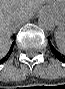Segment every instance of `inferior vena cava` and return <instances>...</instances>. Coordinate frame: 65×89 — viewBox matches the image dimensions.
I'll use <instances>...</instances> for the list:
<instances>
[{
    "label": "inferior vena cava",
    "mask_w": 65,
    "mask_h": 89,
    "mask_svg": "<svg viewBox=\"0 0 65 89\" xmlns=\"http://www.w3.org/2000/svg\"><path fill=\"white\" fill-rule=\"evenodd\" d=\"M27 19H21V20H19V21H17L16 23H15V26L18 24V23H22V22H24V21H26Z\"/></svg>",
    "instance_id": "obj_1"
}]
</instances>
